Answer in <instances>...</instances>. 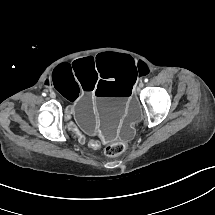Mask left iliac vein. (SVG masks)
<instances>
[{
  "instance_id": "1",
  "label": "left iliac vein",
  "mask_w": 215,
  "mask_h": 215,
  "mask_svg": "<svg viewBox=\"0 0 215 215\" xmlns=\"http://www.w3.org/2000/svg\"><path fill=\"white\" fill-rule=\"evenodd\" d=\"M144 86L143 82L139 83V88H142Z\"/></svg>"
}]
</instances>
